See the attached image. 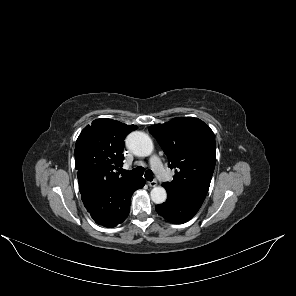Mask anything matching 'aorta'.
<instances>
[{
  "instance_id": "obj_1",
  "label": "aorta",
  "mask_w": 296,
  "mask_h": 296,
  "mask_svg": "<svg viewBox=\"0 0 296 296\" xmlns=\"http://www.w3.org/2000/svg\"><path fill=\"white\" fill-rule=\"evenodd\" d=\"M128 149L136 156L146 157L153 152V142L151 138L141 131L131 132L126 138ZM155 204H162L166 201L167 192L162 186L154 187L150 193Z\"/></svg>"
}]
</instances>
